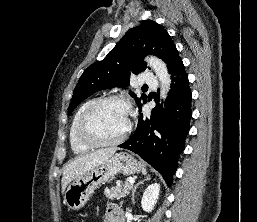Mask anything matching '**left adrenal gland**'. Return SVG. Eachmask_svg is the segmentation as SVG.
<instances>
[{
	"label": "left adrenal gland",
	"instance_id": "a2214340",
	"mask_svg": "<svg viewBox=\"0 0 257 222\" xmlns=\"http://www.w3.org/2000/svg\"><path fill=\"white\" fill-rule=\"evenodd\" d=\"M150 179H151L150 176H147L144 181H147V180H150ZM144 181L138 182V183L134 186V188H133V190H132V197H131V200H132V203H133V204L135 203V201H134V195H135L136 189H137L141 184H143Z\"/></svg>",
	"mask_w": 257,
	"mask_h": 222
}]
</instances>
